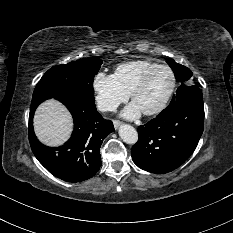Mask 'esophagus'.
<instances>
[{
    "mask_svg": "<svg viewBox=\"0 0 233 233\" xmlns=\"http://www.w3.org/2000/svg\"><path fill=\"white\" fill-rule=\"evenodd\" d=\"M121 124H122V122L119 121V120H114L113 121V125H114L115 129H118Z\"/></svg>",
    "mask_w": 233,
    "mask_h": 233,
    "instance_id": "esophagus-1",
    "label": "esophagus"
}]
</instances>
